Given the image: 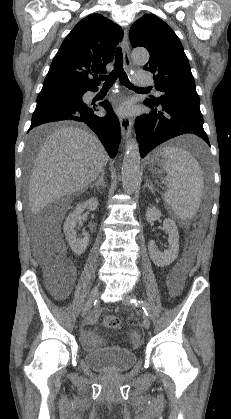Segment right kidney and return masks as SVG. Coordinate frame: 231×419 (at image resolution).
<instances>
[{"label":"right kidney","mask_w":231,"mask_h":419,"mask_svg":"<svg viewBox=\"0 0 231 419\" xmlns=\"http://www.w3.org/2000/svg\"><path fill=\"white\" fill-rule=\"evenodd\" d=\"M97 207L98 200L96 197H92L86 202L79 203L76 206L75 210L72 213H70L67 219L65 220L63 229L66 236V240L68 241L72 251L77 255L83 254L87 249L90 235L88 232L83 231L82 237H77L75 227L77 226V224H81V214L85 209L95 211Z\"/></svg>","instance_id":"obj_1"}]
</instances>
